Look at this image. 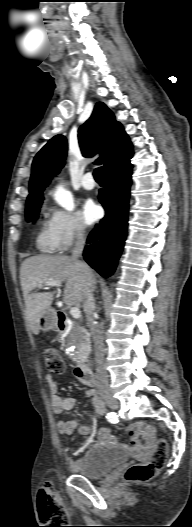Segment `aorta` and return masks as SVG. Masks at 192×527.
Here are the masks:
<instances>
[{
  "label": "aorta",
  "instance_id": "1",
  "mask_svg": "<svg viewBox=\"0 0 192 527\" xmlns=\"http://www.w3.org/2000/svg\"><path fill=\"white\" fill-rule=\"evenodd\" d=\"M55 200L60 206L68 211H72L74 209V200L71 192L65 190L62 186L57 188Z\"/></svg>",
  "mask_w": 192,
  "mask_h": 527
}]
</instances>
